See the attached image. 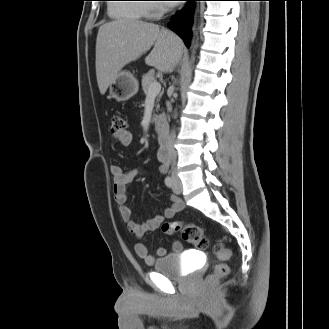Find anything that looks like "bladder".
I'll return each mask as SVG.
<instances>
[{
	"instance_id": "obj_1",
	"label": "bladder",
	"mask_w": 329,
	"mask_h": 329,
	"mask_svg": "<svg viewBox=\"0 0 329 329\" xmlns=\"http://www.w3.org/2000/svg\"><path fill=\"white\" fill-rule=\"evenodd\" d=\"M153 270L169 279H181L187 275L183 271V260L180 254L167 253L156 258L153 262Z\"/></svg>"
}]
</instances>
